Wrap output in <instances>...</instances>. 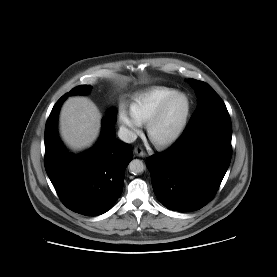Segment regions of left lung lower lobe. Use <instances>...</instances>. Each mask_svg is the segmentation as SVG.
Segmentation results:
<instances>
[{"label":"left lung lower lobe","mask_w":277,"mask_h":277,"mask_svg":"<svg viewBox=\"0 0 277 277\" xmlns=\"http://www.w3.org/2000/svg\"><path fill=\"white\" fill-rule=\"evenodd\" d=\"M231 138L227 109L190 122L172 148L146 161L158 200L179 212L196 211L209 203L229 167Z\"/></svg>","instance_id":"1"}]
</instances>
